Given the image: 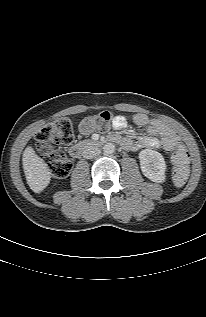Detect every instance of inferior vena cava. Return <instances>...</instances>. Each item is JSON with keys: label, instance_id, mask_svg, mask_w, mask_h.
I'll use <instances>...</instances> for the list:
<instances>
[{"label": "inferior vena cava", "instance_id": "602c4592", "mask_svg": "<svg viewBox=\"0 0 206 317\" xmlns=\"http://www.w3.org/2000/svg\"><path fill=\"white\" fill-rule=\"evenodd\" d=\"M100 149L96 146L90 145L86 146L83 150V157L85 159H92L93 157L100 154Z\"/></svg>", "mask_w": 206, "mask_h": 317}]
</instances>
